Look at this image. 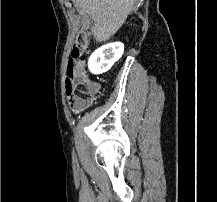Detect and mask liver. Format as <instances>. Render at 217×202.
I'll use <instances>...</instances> for the list:
<instances>
[{"label": "liver", "instance_id": "liver-1", "mask_svg": "<svg viewBox=\"0 0 217 202\" xmlns=\"http://www.w3.org/2000/svg\"><path fill=\"white\" fill-rule=\"evenodd\" d=\"M75 8L90 14L94 26L91 30L96 42H106L125 24L138 0H72Z\"/></svg>", "mask_w": 217, "mask_h": 202}]
</instances>
